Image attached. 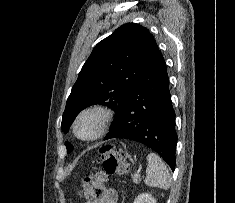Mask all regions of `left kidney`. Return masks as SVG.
<instances>
[{
    "mask_svg": "<svg viewBox=\"0 0 235 203\" xmlns=\"http://www.w3.org/2000/svg\"><path fill=\"white\" fill-rule=\"evenodd\" d=\"M133 203H156V199L149 193L139 194Z\"/></svg>",
    "mask_w": 235,
    "mask_h": 203,
    "instance_id": "1",
    "label": "left kidney"
}]
</instances>
